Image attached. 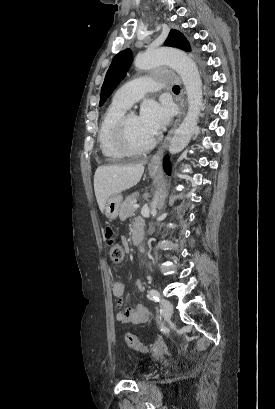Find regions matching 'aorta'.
<instances>
[{
	"label": "aorta",
	"mask_w": 275,
	"mask_h": 409,
	"mask_svg": "<svg viewBox=\"0 0 275 409\" xmlns=\"http://www.w3.org/2000/svg\"><path fill=\"white\" fill-rule=\"evenodd\" d=\"M134 57V64L139 70H145L148 65L169 64L171 68H174L180 74L183 80L187 94L188 110L184 120L176 128L170 144H168L171 154H176V152H180L187 146L195 132V128H197L203 98L202 80L197 64H195L191 56H188L183 50H177V48H157L156 51H143V53L137 51ZM130 114H134V112H130ZM157 205L158 196H154L151 202L152 211H156Z\"/></svg>",
	"instance_id": "aorta-1"
}]
</instances>
